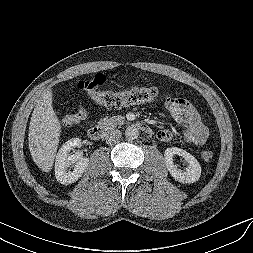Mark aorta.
<instances>
[{
  "mask_svg": "<svg viewBox=\"0 0 253 253\" xmlns=\"http://www.w3.org/2000/svg\"><path fill=\"white\" fill-rule=\"evenodd\" d=\"M125 136L128 140H135L139 136V132L135 127H127L125 130Z\"/></svg>",
  "mask_w": 253,
  "mask_h": 253,
  "instance_id": "762f6f07",
  "label": "aorta"
}]
</instances>
